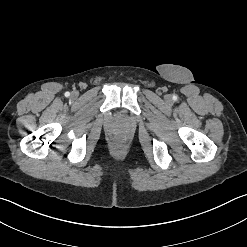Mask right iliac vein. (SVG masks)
I'll return each instance as SVG.
<instances>
[{
  "mask_svg": "<svg viewBox=\"0 0 247 247\" xmlns=\"http://www.w3.org/2000/svg\"><path fill=\"white\" fill-rule=\"evenodd\" d=\"M71 96H72V98H77L78 97V92L77 91H73Z\"/></svg>",
  "mask_w": 247,
  "mask_h": 247,
  "instance_id": "obj_1",
  "label": "right iliac vein"
}]
</instances>
